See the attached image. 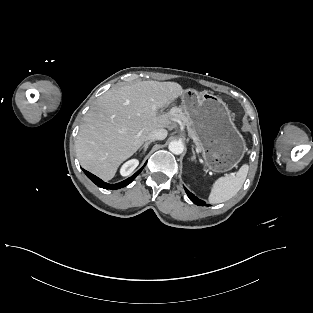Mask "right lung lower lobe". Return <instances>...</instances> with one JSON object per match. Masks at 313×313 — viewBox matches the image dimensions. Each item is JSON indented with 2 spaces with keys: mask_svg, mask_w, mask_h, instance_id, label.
Listing matches in <instances>:
<instances>
[{
  "mask_svg": "<svg viewBox=\"0 0 313 313\" xmlns=\"http://www.w3.org/2000/svg\"><path fill=\"white\" fill-rule=\"evenodd\" d=\"M144 168V166L138 170L133 176L129 177L128 179L116 183V184H109L106 183L104 181H102L100 178H98L97 176L93 175L92 173L82 169L84 171V173L86 174V176L93 182L95 183L97 186L104 188V189H119L122 187L127 186L128 184H130L136 177L137 175L142 171V169Z\"/></svg>",
  "mask_w": 313,
  "mask_h": 313,
  "instance_id": "98d812e1",
  "label": "right lung lower lobe"
}]
</instances>
